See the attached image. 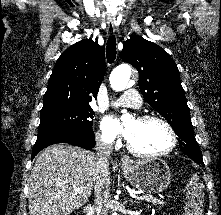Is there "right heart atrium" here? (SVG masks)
Here are the masks:
<instances>
[{"label": "right heart atrium", "mask_w": 221, "mask_h": 215, "mask_svg": "<svg viewBox=\"0 0 221 215\" xmlns=\"http://www.w3.org/2000/svg\"><path fill=\"white\" fill-rule=\"evenodd\" d=\"M96 139H97L98 143L104 144V145H111L114 141V139L111 136H108V135L103 134L101 132L97 133Z\"/></svg>", "instance_id": "d8ad5b80"}]
</instances>
